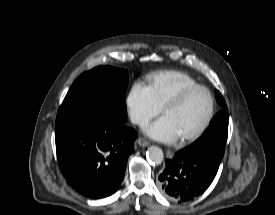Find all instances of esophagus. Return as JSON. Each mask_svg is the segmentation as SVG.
I'll list each match as a JSON object with an SVG mask.
<instances>
[{
	"label": "esophagus",
	"instance_id": "esophagus-1",
	"mask_svg": "<svg viewBox=\"0 0 275 215\" xmlns=\"http://www.w3.org/2000/svg\"><path fill=\"white\" fill-rule=\"evenodd\" d=\"M137 143H138V145H140L142 147H146L149 145V142L141 137L137 139Z\"/></svg>",
	"mask_w": 275,
	"mask_h": 215
}]
</instances>
